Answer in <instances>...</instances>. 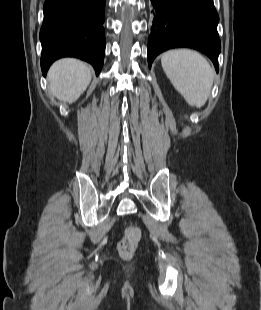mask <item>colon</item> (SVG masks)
I'll return each instance as SVG.
<instances>
[{
	"mask_svg": "<svg viewBox=\"0 0 261 310\" xmlns=\"http://www.w3.org/2000/svg\"><path fill=\"white\" fill-rule=\"evenodd\" d=\"M140 237L141 232L137 226L129 225L125 229L124 236L118 244V251L122 258L129 259L135 254Z\"/></svg>",
	"mask_w": 261,
	"mask_h": 310,
	"instance_id": "colon-1",
	"label": "colon"
}]
</instances>
